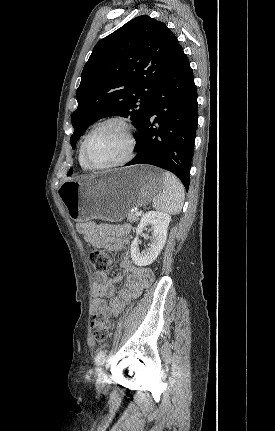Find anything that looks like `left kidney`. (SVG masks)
Here are the masks:
<instances>
[{"label": "left kidney", "instance_id": "left-kidney-1", "mask_svg": "<svg viewBox=\"0 0 275 431\" xmlns=\"http://www.w3.org/2000/svg\"><path fill=\"white\" fill-rule=\"evenodd\" d=\"M170 221L171 216L165 212L160 211H149L142 216L141 221L136 228L137 236L131 244V257L136 265H149L158 257L165 245L167 229ZM147 225L151 226V244L148 249L140 252L138 235L143 232V229Z\"/></svg>", "mask_w": 275, "mask_h": 431}]
</instances>
